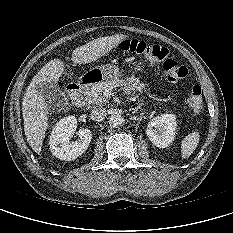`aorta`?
I'll use <instances>...</instances> for the list:
<instances>
[{
    "label": "aorta",
    "mask_w": 233,
    "mask_h": 233,
    "mask_svg": "<svg viewBox=\"0 0 233 233\" xmlns=\"http://www.w3.org/2000/svg\"><path fill=\"white\" fill-rule=\"evenodd\" d=\"M123 122H124V119L119 114H113L109 117V124L113 127H118L122 125Z\"/></svg>",
    "instance_id": "1"
}]
</instances>
